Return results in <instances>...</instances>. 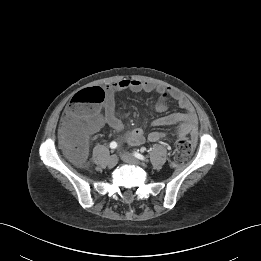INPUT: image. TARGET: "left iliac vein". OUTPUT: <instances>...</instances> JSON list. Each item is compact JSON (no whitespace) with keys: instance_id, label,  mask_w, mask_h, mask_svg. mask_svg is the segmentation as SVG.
I'll return each instance as SVG.
<instances>
[{"instance_id":"1","label":"left iliac vein","mask_w":261,"mask_h":261,"mask_svg":"<svg viewBox=\"0 0 261 261\" xmlns=\"http://www.w3.org/2000/svg\"><path fill=\"white\" fill-rule=\"evenodd\" d=\"M121 159L129 164L141 165V162L137 158H135L132 154L129 153H122Z\"/></svg>"}]
</instances>
